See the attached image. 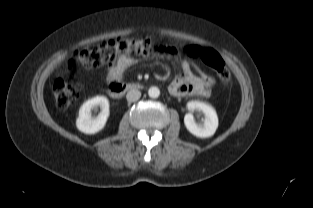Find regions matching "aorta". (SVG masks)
Instances as JSON below:
<instances>
[{"mask_svg": "<svg viewBox=\"0 0 313 208\" xmlns=\"http://www.w3.org/2000/svg\"><path fill=\"white\" fill-rule=\"evenodd\" d=\"M148 95L149 97L151 98H158L159 95H160V90L158 87H150L149 90H148Z\"/></svg>", "mask_w": 313, "mask_h": 208, "instance_id": "aorta-1", "label": "aorta"}]
</instances>
